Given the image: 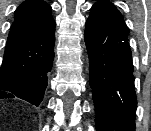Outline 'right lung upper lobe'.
Returning <instances> with one entry per match:
<instances>
[{"instance_id":"right-lung-upper-lobe-1","label":"right lung upper lobe","mask_w":151,"mask_h":131,"mask_svg":"<svg viewBox=\"0 0 151 131\" xmlns=\"http://www.w3.org/2000/svg\"><path fill=\"white\" fill-rule=\"evenodd\" d=\"M55 42V21L44 0H26L15 11L0 71V84L10 85L45 63Z\"/></svg>"}]
</instances>
